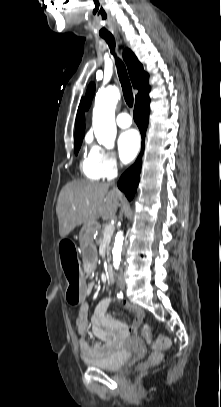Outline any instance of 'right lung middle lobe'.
<instances>
[{
  "label": "right lung middle lobe",
  "instance_id": "dd1d6c3e",
  "mask_svg": "<svg viewBox=\"0 0 221 407\" xmlns=\"http://www.w3.org/2000/svg\"><path fill=\"white\" fill-rule=\"evenodd\" d=\"M81 143H82V142L74 143L75 154L78 153V151H79V149H80V146H81Z\"/></svg>",
  "mask_w": 221,
  "mask_h": 407
}]
</instances>
